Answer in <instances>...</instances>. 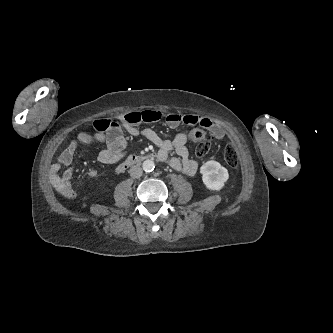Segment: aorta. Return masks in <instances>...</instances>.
Masks as SVG:
<instances>
[{
	"label": "aorta",
	"instance_id": "obj_1",
	"mask_svg": "<svg viewBox=\"0 0 333 333\" xmlns=\"http://www.w3.org/2000/svg\"><path fill=\"white\" fill-rule=\"evenodd\" d=\"M142 168L145 172H152L155 168L154 161L147 159L143 162Z\"/></svg>",
	"mask_w": 333,
	"mask_h": 333
}]
</instances>
